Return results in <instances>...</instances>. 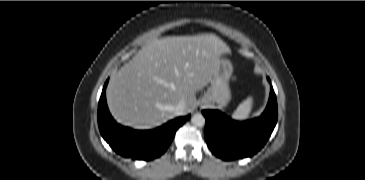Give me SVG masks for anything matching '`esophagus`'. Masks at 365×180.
<instances>
[{"instance_id": "obj_1", "label": "esophagus", "mask_w": 365, "mask_h": 180, "mask_svg": "<svg viewBox=\"0 0 365 180\" xmlns=\"http://www.w3.org/2000/svg\"><path fill=\"white\" fill-rule=\"evenodd\" d=\"M200 109H201V106L200 105L196 107V110L197 111H199Z\"/></svg>"}]
</instances>
